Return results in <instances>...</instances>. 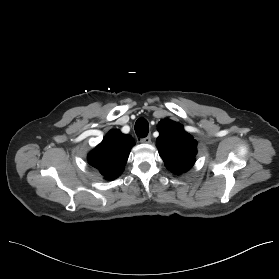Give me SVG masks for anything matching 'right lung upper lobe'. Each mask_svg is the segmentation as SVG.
<instances>
[{"mask_svg":"<svg viewBox=\"0 0 279 279\" xmlns=\"http://www.w3.org/2000/svg\"><path fill=\"white\" fill-rule=\"evenodd\" d=\"M135 144L133 138L119 130H111L103 141L88 155L89 164L107 180L116 179L124 169L130 150Z\"/></svg>","mask_w":279,"mask_h":279,"instance_id":"1","label":"right lung upper lobe"}]
</instances>
